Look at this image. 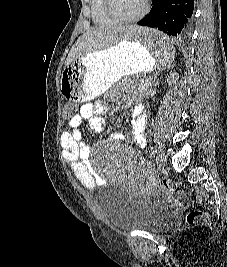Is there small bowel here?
<instances>
[{
	"instance_id": "obj_1",
	"label": "small bowel",
	"mask_w": 227,
	"mask_h": 267,
	"mask_svg": "<svg viewBox=\"0 0 227 267\" xmlns=\"http://www.w3.org/2000/svg\"><path fill=\"white\" fill-rule=\"evenodd\" d=\"M104 111V103L83 104L79 112L73 116V119H69L68 127L60 136L64 159L70 164L75 176L82 185L91 190L99 186L101 178L90 162V148L80 131V126L83 121L88 120L93 131H103L106 126V121L100 114ZM131 125V141L139 147L145 146L146 121L142 109H135L132 112ZM114 138L120 140L123 138V135L117 133L114 135Z\"/></svg>"
}]
</instances>
